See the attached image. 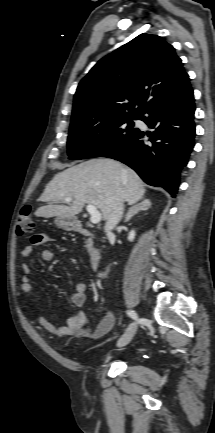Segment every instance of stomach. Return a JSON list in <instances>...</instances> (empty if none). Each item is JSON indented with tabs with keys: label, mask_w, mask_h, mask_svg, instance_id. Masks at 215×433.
Listing matches in <instances>:
<instances>
[{
	"label": "stomach",
	"mask_w": 215,
	"mask_h": 433,
	"mask_svg": "<svg viewBox=\"0 0 215 433\" xmlns=\"http://www.w3.org/2000/svg\"><path fill=\"white\" fill-rule=\"evenodd\" d=\"M55 224L64 230H72L75 227V219L74 218H62L57 217L55 219Z\"/></svg>",
	"instance_id": "stomach-1"
}]
</instances>
